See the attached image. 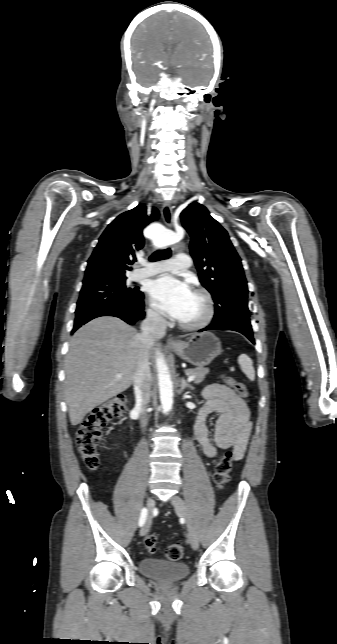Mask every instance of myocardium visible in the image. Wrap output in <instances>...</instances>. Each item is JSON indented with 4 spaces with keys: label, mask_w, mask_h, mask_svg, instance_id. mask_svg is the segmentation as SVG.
<instances>
[{
    "label": "myocardium",
    "mask_w": 337,
    "mask_h": 644,
    "mask_svg": "<svg viewBox=\"0 0 337 644\" xmlns=\"http://www.w3.org/2000/svg\"><path fill=\"white\" fill-rule=\"evenodd\" d=\"M193 293L202 299L204 304V313L198 320L193 322H184L180 320L179 325L186 330L203 329L212 322L215 316V303L211 293L203 287L196 288Z\"/></svg>",
    "instance_id": "myocardium-1"
}]
</instances>
